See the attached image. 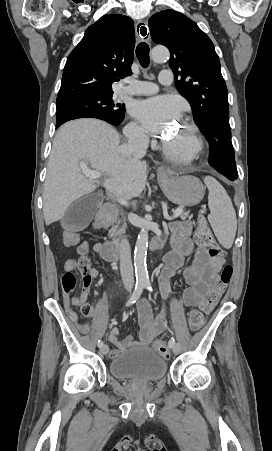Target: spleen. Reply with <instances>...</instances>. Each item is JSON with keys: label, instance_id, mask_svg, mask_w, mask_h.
Returning a JSON list of instances; mask_svg holds the SVG:
<instances>
[{"label": "spleen", "instance_id": "spleen-1", "mask_svg": "<svg viewBox=\"0 0 272 451\" xmlns=\"http://www.w3.org/2000/svg\"><path fill=\"white\" fill-rule=\"evenodd\" d=\"M204 184L209 190L208 206L210 214L208 222H210L219 243L226 249H230L237 229L236 212L231 198H229L223 186L212 176H206Z\"/></svg>", "mask_w": 272, "mask_h": 451}]
</instances>
